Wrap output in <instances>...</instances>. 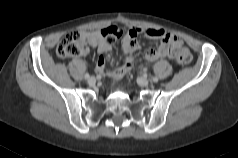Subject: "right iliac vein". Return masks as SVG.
<instances>
[{
	"label": "right iliac vein",
	"mask_w": 238,
	"mask_h": 158,
	"mask_svg": "<svg viewBox=\"0 0 238 158\" xmlns=\"http://www.w3.org/2000/svg\"><path fill=\"white\" fill-rule=\"evenodd\" d=\"M88 83H89L90 85L95 84V83H96V78H95V77H89V78H88Z\"/></svg>",
	"instance_id": "1"
}]
</instances>
